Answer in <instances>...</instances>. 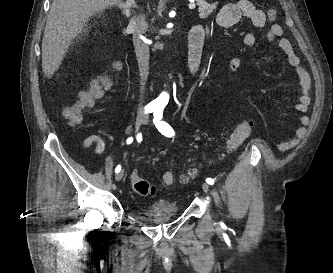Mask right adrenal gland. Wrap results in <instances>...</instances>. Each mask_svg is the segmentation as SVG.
Instances as JSON below:
<instances>
[{
  "instance_id": "2a0ac1e0",
  "label": "right adrenal gland",
  "mask_w": 333,
  "mask_h": 273,
  "mask_svg": "<svg viewBox=\"0 0 333 273\" xmlns=\"http://www.w3.org/2000/svg\"><path fill=\"white\" fill-rule=\"evenodd\" d=\"M118 7L122 10V13L129 18L131 16V8H136L137 5L135 0H126V2L119 3Z\"/></svg>"
}]
</instances>
